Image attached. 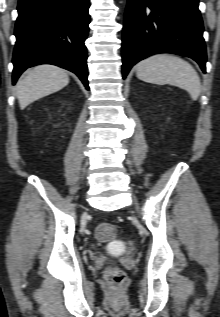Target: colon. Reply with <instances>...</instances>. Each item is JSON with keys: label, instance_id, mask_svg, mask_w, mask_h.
Instances as JSON below:
<instances>
[{"label": "colon", "instance_id": "colon-1", "mask_svg": "<svg viewBox=\"0 0 220 317\" xmlns=\"http://www.w3.org/2000/svg\"><path fill=\"white\" fill-rule=\"evenodd\" d=\"M115 234L116 229L110 223H100L95 229V237L101 242L111 240ZM104 280L110 289L119 290L123 286L126 276L121 269L110 266L104 272Z\"/></svg>", "mask_w": 220, "mask_h": 317}]
</instances>
